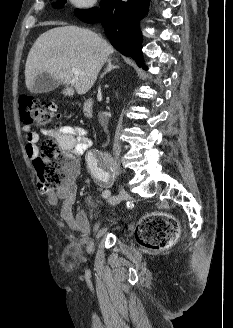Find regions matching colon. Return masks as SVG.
Here are the masks:
<instances>
[{"label":"colon","mask_w":233,"mask_h":328,"mask_svg":"<svg viewBox=\"0 0 233 328\" xmlns=\"http://www.w3.org/2000/svg\"><path fill=\"white\" fill-rule=\"evenodd\" d=\"M19 113L25 125H45L61 117L54 104H41L33 96L23 94L19 97ZM41 185L54 190L74 177L76 166L72 158H66L54 140H46L40 146L34 160ZM179 236L176 220L164 213H153L143 217L137 224L135 237L143 247L159 251L171 247Z\"/></svg>","instance_id":"5ec220e1"}]
</instances>
